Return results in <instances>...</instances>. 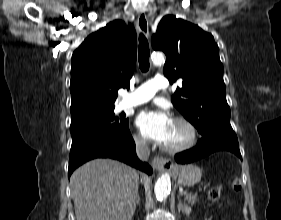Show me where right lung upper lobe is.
<instances>
[{
	"label": "right lung upper lobe",
	"instance_id": "obj_1",
	"mask_svg": "<svg viewBox=\"0 0 281 220\" xmlns=\"http://www.w3.org/2000/svg\"><path fill=\"white\" fill-rule=\"evenodd\" d=\"M136 50L135 29L121 20L84 40L72 55L71 119L114 109L117 90L130 87Z\"/></svg>",
	"mask_w": 281,
	"mask_h": 220
}]
</instances>
